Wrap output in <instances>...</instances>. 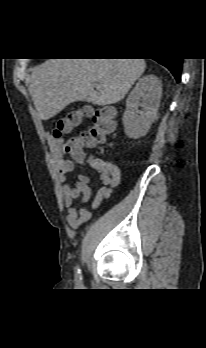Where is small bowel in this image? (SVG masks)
<instances>
[{"instance_id": "c3829d8e", "label": "small bowel", "mask_w": 206, "mask_h": 348, "mask_svg": "<svg viewBox=\"0 0 206 348\" xmlns=\"http://www.w3.org/2000/svg\"><path fill=\"white\" fill-rule=\"evenodd\" d=\"M62 143L61 138H51L50 150L58 179L63 183L62 194L64 205L68 210V223L72 229L76 230L91 218V212L87 208V204L92 199V190L89 186L90 177L86 174H79L74 185L67 182L68 174L74 167V161L65 158L66 151ZM75 161L79 163L86 161L99 175L100 187L91 201V208L96 209L103 199L110 197L113 188L119 185L121 181L120 168L112 162L95 156H89L85 159L83 155L80 158H75ZM77 201L79 204L76 205Z\"/></svg>"}]
</instances>
